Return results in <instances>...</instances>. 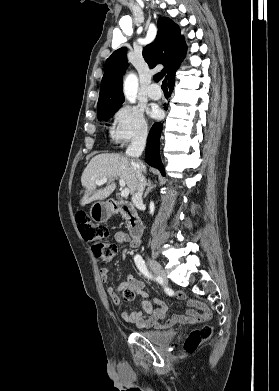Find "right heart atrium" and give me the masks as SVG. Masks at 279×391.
Listing matches in <instances>:
<instances>
[{"mask_svg": "<svg viewBox=\"0 0 279 391\" xmlns=\"http://www.w3.org/2000/svg\"><path fill=\"white\" fill-rule=\"evenodd\" d=\"M147 131L144 113L136 106L124 104L112 115L110 136L115 144L125 145L132 140L142 139Z\"/></svg>", "mask_w": 279, "mask_h": 391, "instance_id": "1", "label": "right heart atrium"}]
</instances>
